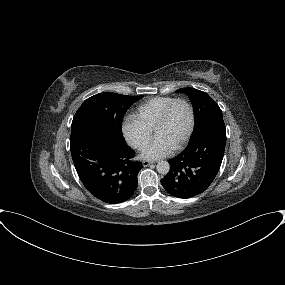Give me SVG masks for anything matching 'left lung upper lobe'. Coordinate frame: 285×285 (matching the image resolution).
Wrapping results in <instances>:
<instances>
[{
    "mask_svg": "<svg viewBox=\"0 0 285 285\" xmlns=\"http://www.w3.org/2000/svg\"><path fill=\"white\" fill-rule=\"evenodd\" d=\"M176 92L185 93L192 102L195 113V126L191 138L211 119L222 117L218 104L205 92L194 88H181Z\"/></svg>",
    "mask_w": 285,
    "mask_h": 285,
    "instance_id": "1",
    "label": "left lung upper lobe"
}]
</instances>
